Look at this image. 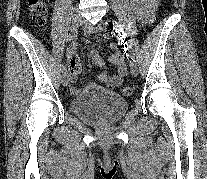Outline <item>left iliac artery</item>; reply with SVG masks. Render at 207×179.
<instances>
[{
	"label": "left iliac artery",
	"instance_id": "obj_1",
	"mask_svg": "<svg viewBox=\"0 0 207 179\" xmlns=\"http://www.w3.org/2000/svg\"><path fill=\"white\" fill-rule=\"evenodd\" d=\"M110 25L112 26V28H114V31L117 32L118 36L122 35V27L119 23L117 22H111ZM121 39H124V34L121 36ZM125 45H127V55L129 57L130 63L134 64L136 57H135V52L132 48L131 44H128V39H125Z\"/></svg>",
	"mask_w": 207,
	"mask_h": 179
}]
</instances>
